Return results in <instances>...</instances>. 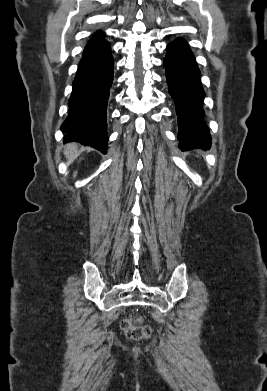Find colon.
I'll return each instance as SVG.
<instances>
[{
	"instance_id": "1",
	"label": "colon",
	"mask_w": 267,
	"mask_h": 391,
	"mask_svg": "<svg viewBox=\"0 0 267 391\" xmlns=\"http://www.w3.org/2000/svg\"><path fill=\"white\" fill-rule=\"evenodd\" d=\"M121 329L123 332L132 339H141L149 337L151 334V328L143 326L137 319L128 318L122 321Z\"/></svg>"
}]
</instances>
